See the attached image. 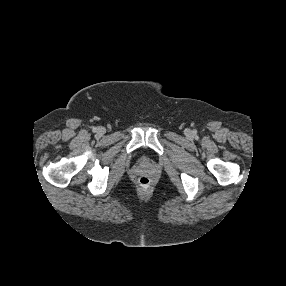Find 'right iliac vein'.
Wrapping results in <instances>:
<instances>
[{"label": "right iliac vein", "mask_w": 286, "mask_h": 286, "mask_svg": "<svg viewBox=\"0 0 286 286\" xmlns=\"http://www.w3.org/2000/svg\"><path fill=\"white\" fill-rule=\"evenodd\" d=\"M97 133H98V134H103V133H104V129H103V128L97 129Z\"/></svg>", "instance_id": "63e3f726"}]
</instances>
